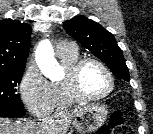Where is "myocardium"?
<instances>
[{
  "mask_svg": "<svg viewBox=\"0 0 153 134\" xmlns=\"http://www.w3.org/2000/svg\"><path fill=\"white\" fill-rule=\"evenodd\" d=\"M98 65L109 78V88L99 95H87L85 94L80 85V77L82 70L88 64ZM115 77L109 67L100 59L95 57H84L78 59L67 71L64 78V85L68 95L76 102H92L99 101L109 96L115 89Z\"/></svg>",
  "mask_w": 153,
  "mask_h": 134,
  "instance_id": "obj_1",
  "label": "myocardium"
}]
</instances>
